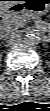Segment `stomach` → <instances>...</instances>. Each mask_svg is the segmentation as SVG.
<instances>
[{
  "mask_svg": "<svg viewBox=\"0 0 50 111\" xmlns=\"http://www.w3.org/2000/svg\"><path fill=\"white\" fill-rule=\"evenodd\" d=\"M24 8L36 15H44L50 9V0H25Z\"/></svg>",
  "mask_w": 50,
  "mask_h": 111,
  "instance_id": "1",
  "label": "stomach"
}]
</instances>
